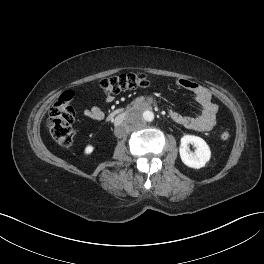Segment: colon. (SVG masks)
Wrapping results in <instances>:
<instances>
[{"mask_svg":"<svg viewBox=\"0 0 264 264\" xmlns=\"http://www.w3.org/2000/svg\"><path fill=\"white\" fill-rule=\"evenodd\" d=\"M149 85L150 81L145 75L128 73L103 79L100 82V89L105 95H116L127 90L146 88ZM73 101L74 93L66 91L59 97L49 113V133L62 146H70L75 135L73 123L76 108ZM229 137L230 133L227 130L221 132L222 140H228Z\"/></svg>","mask_w":264,"mask_h":264,"instance_id":"1","label":"colon"}]
</instances>
